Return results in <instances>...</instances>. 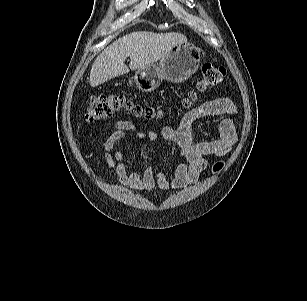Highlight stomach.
<instances>
[{"label": "stomach", "instance_id": "obj_1", "mask_svg": "<svg viewBox=\"0 0 307 301\" xmlns=\"http://www.w3.org/2000/svg\"><path fill=\"white\" fill-rule=\"evenodd\" d=\"M199 64L200 50L190 43H180L160 59L158 65L137 69L129 84L141 91L152 92L163 79L172 83L186 81L197 71Z\"/></svg>", "mask_w": 307, "mask_h": 301}]
</instances>
